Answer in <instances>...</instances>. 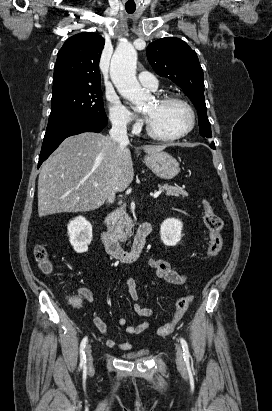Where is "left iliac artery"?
<instances>
[{"instance_id": "obj_1", "label": "left iliac artery", "mask_w": 272, "mask_h": 411, "mask_svg": "<svg viewBox=\"0 0 272 411\" xmlns=\"http://www.w3.org/2000/svg\"><path fill=\"white\" fill-rule=\"evenodd\" d=\"M180 343L182 345V349H183V358L184 361L188 362L189 358H190V353H189V348H188V344L185 341L184 338H180Z\"/></svg>"}]
</instances>
